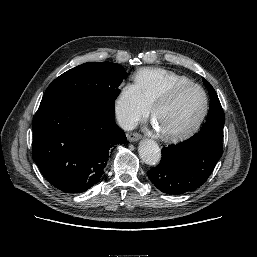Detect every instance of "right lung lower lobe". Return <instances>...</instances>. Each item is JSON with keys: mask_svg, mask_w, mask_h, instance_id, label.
I'll return each instance as SVG.
<instances>
[{"mask_svg": "<svg viewBox=\"0 0 257 257\" xmlns=\"http://www.w3.org/2000/svg\"><path fill=\"white\" fill-rule=\"evenodd\" d=\"M125 141L114 107L96 99L40 105L33 120V160L46 180L66 193L84 192L97 184L110 153Z\"/></svg>", "mask_w": 257, "mask_h": 257, "instance_id": "obj_1", "label": "right lung lower lobe"}]
</instances>
